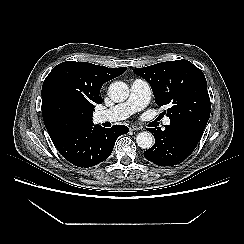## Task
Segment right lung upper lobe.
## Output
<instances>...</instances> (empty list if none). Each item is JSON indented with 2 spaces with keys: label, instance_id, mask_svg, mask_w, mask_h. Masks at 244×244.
Segmentation results:
<instances>
[{
  "label": "right lung upper lobe",
  "instance_id": "right-lung-upper-lobe-1",
  "mask_svg": "<svg viewBox=\"0 0 244 244\" xmlns=\"http://www.w3.org/2000/svg\"><path fill=\"white\" fill-rule=\"evenodd\" d=\"M127 70L126 67L108 68L87 62L65 61L55 66L42 86V115L46 129L55 138L68 130L93 126L92 116L102 85ZM62 99L81 113L80 122L70 129H60L51 117V106Z\"/></svg>",
  "mask_w": 244,
  "mask_h": 244
}]
</instances>
